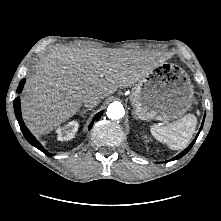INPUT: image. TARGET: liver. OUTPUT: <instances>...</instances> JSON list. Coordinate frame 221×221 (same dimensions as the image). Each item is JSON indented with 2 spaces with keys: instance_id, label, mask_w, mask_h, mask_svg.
Wrapping results in <instances>:
<instances>
[{
  "instance_id": "obj_1",
  "label": "liver",
  "mask_w": 221,
  "mask_h": 221,
  "mask_svg": "<svg viewBox=\"0 0 221 221\" xmlns=\"http://www.w3.org/2000/svg\"><path fill=\"white\" fill-rule=\"evenodd\" d=\"M164 61L143 50L60 48L49 53L26 82L22 111L34 134L53 131L75 115L86 94L100 99L130 87Z\"/></svg>"
}]
</instances>
